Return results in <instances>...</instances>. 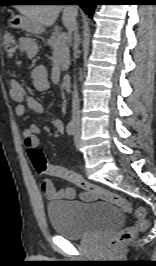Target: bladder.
<instances>
[{
	"label": "bladder",
	"mask_w": 156,
	"mask_h": 266,
	"mask_svg": "<svg viewBox=\"0 0 156 266\" xmlns=\"http://www.w3.org/2000/svg\"><path fill=\"white\" fill-rule=\"evenodd\" d=\"M53 230L70 240H79L119 226L123 215L119 207L106 202L90 205L78 201H55L47 206Z\"/></svg>",
	"instance_id": "bladder-1"
}]
</instances>
